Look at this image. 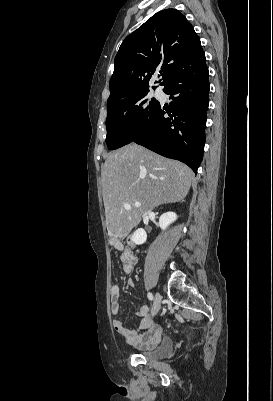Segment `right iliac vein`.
<instances>
[{"label": "right iliac vein", "instance_id": "63e3f726", "mask_svg": "<svg viewBox=\"0 0 273 401\" xmlns=\"http://www.w3.org/2000/svg\"><path fill=\"white\" fill-rule=\"evenodd\" d=\"M160 306H161V296L159 293H156L154 302H153V306H152V310H151L152 316L156 315L159 312Z\"/></svg>", "mask_w": 273, "mask_h": 401}]
</instances>
